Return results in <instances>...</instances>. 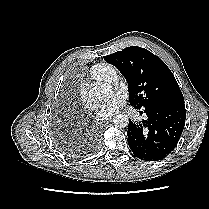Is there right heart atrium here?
Returning a JSON list of instances; mask_svg holds the SVG:
<instances>
[{"instance_id": "right-heart-atrium-1", "label": "right heart atrium", "mask_w": 209, "mask_h": 209, "mask_svg": "<svg viewBox=\"0 0 209 209\" xmlns=\"http://www.w3.org/2000/svg\"><path fill=\"white\" fill-rule=\"evenodd\" d=\"M79 101L82 104V106L87 109L91 110L92 109V104L88 98L87 90L86 88L82 87L79 91Z\"/></svg>"}]
</instances>
